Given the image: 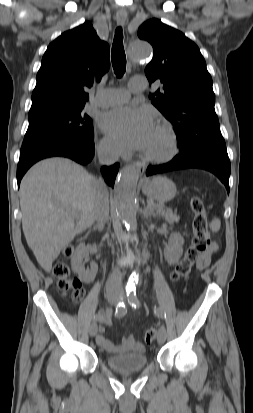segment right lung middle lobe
Masks as SVG:
<instances>
[{"instance_id":"dd1d6c3e","label":"right lung middle lobe","mask_w":253,"mask_h":413,"mask_svg":"<svg viewBox=\"0 0 253 413\" xmlns=\"http://www.w3.org/2000/svg\"><path fill=\"white\" fill-rule=\"evenodd\" d=\"M83 108L77 105L29 112L21 151L61 141H92L93 123Z\"/></svg>"}]
</instances>
